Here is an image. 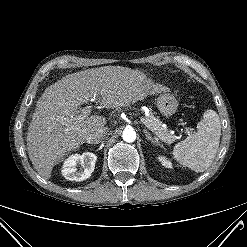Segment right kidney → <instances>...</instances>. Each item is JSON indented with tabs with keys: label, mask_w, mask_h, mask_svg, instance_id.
I'll return each mask as SVG.
<instances>
[{
	"label": "right kidney",
	"mask_w": 247,
	"mask_h": 247,
	"mask_svg": "<svg viewBox=\"0 0 247 247\" xmlns=\"http://www.w3.org/2000/svg\"><path fill=\"white\" fill-rule=\"evenodd\" d=\"M96 160L97 156L91 152L71 155L63 163L62 174L70 181L86 180L94 171ZM78 165L83 167L81 171H77Z\"/></svg>",
	"instance_id": "ca27d5eb"
}]
</instances>
